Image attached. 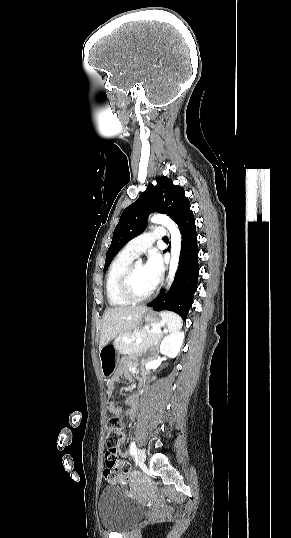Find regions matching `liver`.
<instances>
[{
	"label": "liver",
	"instance_id": "liver-1",
	"mask_svg": "<svg viewBox=\"0 0 291 538\" xmlns=\"http://www.w3.org/2000/svg\"><path fill=\"white\" fill-rule=\"evenodd\" d=\"M147 310L145 306H118L106 309L100 329L99 348L107 345L116 336L135 329Z\"/></svg>",
	"mask_w": 291,
	"mask_h": 538
}]
</instances>
